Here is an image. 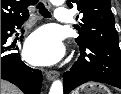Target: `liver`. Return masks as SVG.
Listing matches in <instances>:
<instances>
[{
    "mask_svg": "<svg viewBox=\"0 0 121 94\" xmlns=\"http://www.w3.org/2000/svg\"><path fill=\"white\" fill-rule=\"evenodd\" d=\"M1 94H22V92L13 84L1 80Z\"/></svg>",
    "mask_w": 121,
    "mask_h": 94,
    "instance_id": "obj_1",
    "label": "liver"
}]
</instances>
